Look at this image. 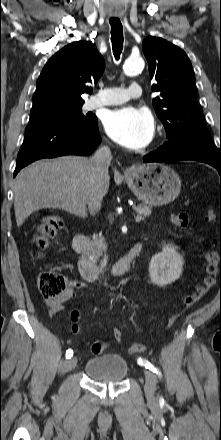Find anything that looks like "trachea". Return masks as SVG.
I'll return each mask as SVG.
<instances>
[{"mask_svg":"<svg viewBox=\"0 0 221 440\" xmlns=\"http://www.w3.org/2000/svg\"><path fill=\"white\" fill-rule=\"evenodd\" d=\"M111 42L115 58L118 60L123 48V27L119 19L111 18Z\"/></svg>","mask_w":221,"mask_h":440,"instance_id":"1","label":"trachea"}]
</instances>
